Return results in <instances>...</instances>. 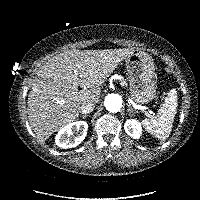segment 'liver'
Returning <instances> with one entry per match:
<instances>
[{
  "label": "liver",
  "mask_w": 200,
  "mask_h": 200,
  "mask_svg": "<svg viewBox=\"0 0 200 200\" xmlns=\"http://www.w3.org/2000/svg\"><path fill=\"white\" fill-rule=\"evenodd\" d=\"M133 51L68 50L50 58L32 81L27 102L28 120L39 141L77 119L84 101L97 103L104 81Z\"/></svg>",
  "instance_id": "1"
}]
</instances>
